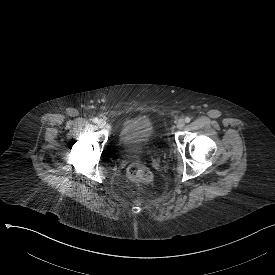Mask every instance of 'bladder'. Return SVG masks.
<instances>
[{"label": "bladder", "mask_w": 275, "mask_h": 275, "mask_svg": "<svg viewBox=\"0 0 275 275\" xmlns=\"http://www.w3.org/2000/svg\"><path fill=\"white\" fill-rule=\"evenodd\" d=\"M154 129L149 117L145 115L126 119L115 138L120 148L129 153L149 151L154 143Z\"/></svg>", "instance_id": "bladder-1"}]
</instances>
